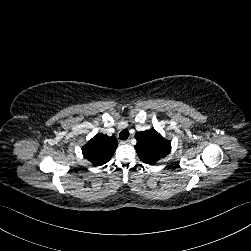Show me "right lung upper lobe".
<instances>
[{
  "label": "right lung upper lobe",
  "mask_w": 251,
  "mask_h": 251,
  "mask_svg": "<svg viewBox=\"0 0 251 251\" xmlns=\"http://www.w3.org/2000/svg\"><path fill=\"white\" fill-rule=\"evenodd\" d=\"M117 146L118 141L115 137L98 133L83 146L82 153L91 164L101 166L110 161Z\"/></svg>",
  "instance_id": "right-lung-upper-lobe-1"
}]
</instances>
